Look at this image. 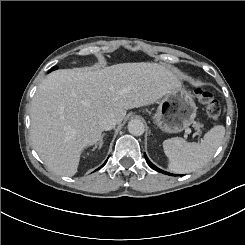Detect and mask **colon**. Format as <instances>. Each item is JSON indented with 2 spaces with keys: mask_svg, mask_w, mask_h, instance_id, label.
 <instances>
[{
  "mask_svg": "<svg viewBox=\"0 0 245 245\" xmlns=\"http://www.w3.org/2000/svg\"><path fill=\"white\" fill-rule=\"evenodd\" d=\"M195 94L198 101L204 106L207 117L213 121H217L221 113V107L214 96L202 88L196 89Z\"/></svg>",
  "mask_w": 245,
  "mask_h": 245,
  "instance_id": "5ec220e1",
  "label": "colon"
}]
</instances>
